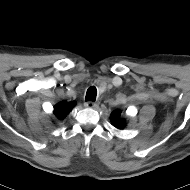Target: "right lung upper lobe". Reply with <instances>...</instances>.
I'll return each instance as SVG.
<instances>
[{
    "mask_svg": "<svg viewBox=\"0 0 190 190\" xmlns=\"http://www.w3.org/2000/svg\"><path fill=\"white\" fill-rule=\"evenodd\" d=\"M75 106V101L72 102H67V101H62L59 102L54 106V115L62 120L66 117V115L71 111V109Z\"/></svg>",
    "mask_w": 190,
    "mask_h": 190,
    "instance_id": "cb5924a9",
    "label": "right lung upper lobe"
}]
</instances>
